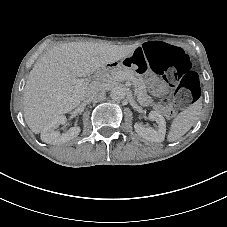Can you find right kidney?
<instances>
[{"label":"right kidney","mask_w":227,"mask_h":227,"mask_svg":"<svg viewBox=\"0 0 227 227\" xmlns=\"http://www.w3.org/2000/svg\"><path fill=\"white\" fill-rule=\"evenodd\" d=\"M67 122V119L65 116L60 115L52 120H50L41 130L40 138L43 142L48 144H59V143H66L67 141H70L74 139L76 136L80 133V128L77 126L69 128L65 133H59L56 128L59 127V125L64 124Z\"/></svg>","instance_id":"1"}]
</instances>
